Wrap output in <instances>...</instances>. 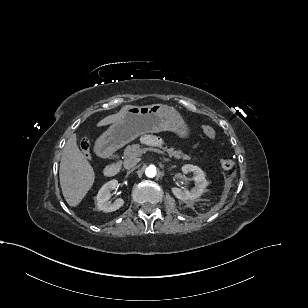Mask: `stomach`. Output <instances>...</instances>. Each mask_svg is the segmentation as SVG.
I'll use <instances>...</instances> for the list:
<instances>
[{
  "instance_id": "1",
  "label": "stomach",
  "mask_w": 308,
  "mask_h": 308,
  "mask_svg": "<svg viewBox=\"0 0 308 308\" xmlns=\"http://www.w3.org/2000/svg\"><path fill=\"white\" fill-rule=\"evenodd\" d=\"M161 131L174 132L180 138L189 137V128L174 107L164 104L133 106L97 139L96 148L101 153L111 152L139 135Z\"/></svg>"
}]
</instances>
